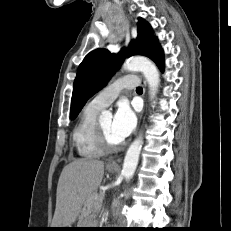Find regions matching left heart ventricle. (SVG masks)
Listing matches in <instances>:
<instances>
[{"mask_svg":"<svg viewBox=\"0 0 231 231\" xmlns=\"http://www.w3.org/2000/svg\"><path fill=\"white\" fill-rule=\"evenodd\" d=\"M101 128L107 138V140L111 143V144H118L119 142L117 141V139L114 137L113 133H112V120L108 119V120H104L100 123Z\"/></svg>","mask_w":231,"mask_h":231,"instance_id":"left-heart-ventricle-1","label":"left heart ventricle"}]
</instances>
